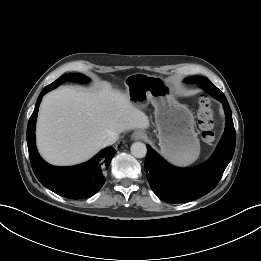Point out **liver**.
<instances>
[{
	"mask_svg": "<svg viewBox=\"0 0 261 261\" xmlns=\"http://www.w3.org/2000/svg\"><path fill=\"white\" fill-rule=\"evenodd\" d=\"M149 126L148 116L110 84L93 91L63 87L48 93L41 102L37 148L50 164L74 165L103 149L108 136Z\"/></svg>",
	"mask_w": 261,
	"mask_h": 261,
	"instance_id": "obj_1",
	"label": "liver"
}]
</instances>
